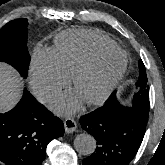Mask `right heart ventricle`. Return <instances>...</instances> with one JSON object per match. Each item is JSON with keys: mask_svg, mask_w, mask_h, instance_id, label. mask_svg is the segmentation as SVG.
Instances as JSON below:
<instances>
[{"mask_svg": "<svg viewBox=\"0 0 165 165\" xmlns=\"http://www.w3.org/2000/svg\"><path fill=\"white\" fill-rule=\"evenodd\" d=\"M115 46L110 37L98 30L71 29L56 36L52 53L61 68L72 74L93 51Z\"/></svg>", "mask_w": 165, "mask_h": 165, "instance_id": "obj_1", "label": "right heart ventricle"}]
</instances>
